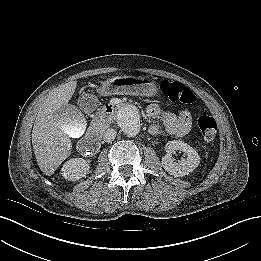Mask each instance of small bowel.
<instances>
[{"label":"small bowel","instance_id":"c3829d8e","mask_svg":"<svg viewBox=\"0 0 261 261\" xmlns=\"http://www.w3.org/2000/svg\"><path fill=\"white\" fill-rule=\"evenodd\" d=\"M147 112L150 116L159 118L167 133L173 137H182L189 133L192 127V117L189 110L184 109L179 111L177 114L165 111L160 108L157 104H151ZM150 133L157 135L160 133L158 125L153 124L149 129Z\"/></svg>","mask_w":261,"mask_h":261}]
</instances>
